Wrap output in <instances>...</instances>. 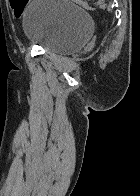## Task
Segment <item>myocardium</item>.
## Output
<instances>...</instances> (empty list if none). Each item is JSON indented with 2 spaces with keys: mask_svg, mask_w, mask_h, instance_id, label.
I'll use <instances>...</instances> for the list:
<instances>
[{
  "mask_svg": "<svg viewBox=\"0 0 140 196\" xmlns=\"http://www.w3.org/2000/svg\"><path fill=\"white\" fill-rule=\"evenodd\" d=\"M35 192H46V191H35ZM54 192H67V191H54Z\"/></svg>",
  "mask_w": 140,
  "mask_h": 196,
  "instance_id": "obj_1",
  "label": "myocardium"
}]
</instances>
